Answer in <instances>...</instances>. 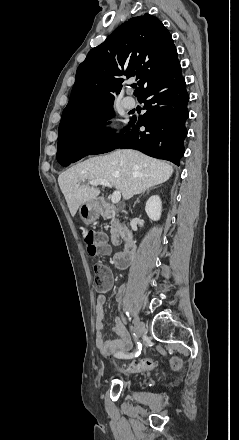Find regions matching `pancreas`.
<instances>
[{
	"label": "pancreas",
	"instance_id": "1",
	"mask_svg": "<svg viewBox=\"0 0 239 440\" xmlns=\"http://www.w3.org/2000/svg\"><path fill=\"white\" fill-rule=\"evenodd\" d=\"M110 228L111 242L114 246H119V240L124 236V232H122L124 230L123 224H120V220H117V218H112Z\"/></svg>",
	"mask_w": 239,
	"mask_h": 440
}]
</instances>
